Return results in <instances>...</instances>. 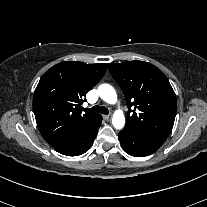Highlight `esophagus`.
Instances as JSON below:
<instances>
[{
	"mask_svg": "<svg viewBox=\"0 0 207 207\" xmlns=\"http://www.w3.org/2000/svg\"><path fill=\"white\" fill-rule=\"evenodd\" d=\"M109 118H110L109 115H103V119H104V120H108Z\"/></svg>",
	"mask_w": 207,
	"mask_h": 207,
	"instance_id": "esophagus-1",
	"label": "esophagus"
}]
</instances>
